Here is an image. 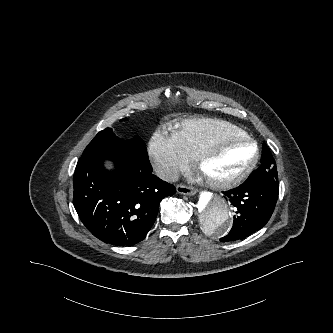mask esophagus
<instances>
[{
    "label": "esophagus",
    "mask_w": 333,
    "mask_h": 333,
    "mask_svg": "<svg viewBox=\"0 0 333 333\" xmlns=\"http://www.w3.org/2000/svg\"><path fill=\"white\" fill-rule=\"evenodd\" d=\"M176 190L179 194L194 195V191L185 185H177Z\"/></svg>",
    "instance_id": "1"
}]
</instances>
